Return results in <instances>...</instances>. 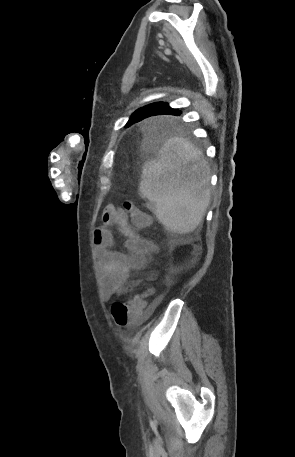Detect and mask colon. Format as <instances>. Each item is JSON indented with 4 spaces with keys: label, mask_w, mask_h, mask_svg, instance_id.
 <instances>
[{
    "label": "colon",
    "mask_w": 295,
    "mask_h": 457,
    "mask_svg": "<svg viewBox=\"0 0 295 457\" xmlns=\"http://www.w3.org/2000/svg\"><path fill=\"white\" fill-rule=\"evenodd\" d=\"M124 208L128 211L132 223L139 228H146L150 224V217L133 203L127 201ZM145 301L143 296L137 295L123 302H115L111 307L112 316L117 325L129 327L136 325L143 314Z\"/></svg>",
    "instance_id": "1"
}]
</instances>
